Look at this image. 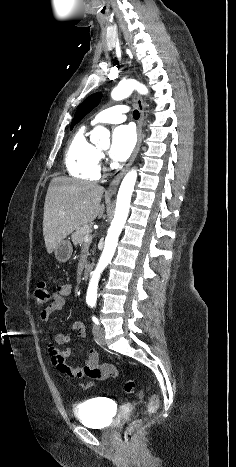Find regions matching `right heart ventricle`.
I'll return each mask as SVG.
<instances>
[{
	"label": "right heart ventricle",
	"mask_w": 236,
	"mask_h": 467,
	"mask_svg": "<svg viewBox=\"0 0 236 467\" xmlns=\"http://www.w3.org/2000/svg\"><path fill=\"white\" fill-rule=\"evenodd\" d=\"M65 166L74 178L96 181L100 179V153L88 140L86 128L79 129L66 150Z\"/></svg>",
	"instance_id": "right-heart-ventricle-1"
}]
</instances>
